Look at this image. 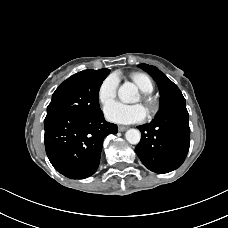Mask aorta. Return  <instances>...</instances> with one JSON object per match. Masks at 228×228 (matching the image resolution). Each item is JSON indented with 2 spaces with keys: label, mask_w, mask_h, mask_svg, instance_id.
<instances>
[{
  "label": "aorta",
  "mask_w": 228,
  "mask_h": 228,
  "mask_svg": "<svg viewBox=\"0 0 228 228\" xmlns=\"http://www.w3.org/2000/svg\"><path fill=\"white\" fill-rule=\"evenodd\" d=\"M118 97L124 103H134L138 100V89L133 83L125 82L119 87ZM125 138L130 144H138L141 139L140 131L129 129L125 134Z\"/></svg>",
  "instance_id": "1"
}]
</instances>
